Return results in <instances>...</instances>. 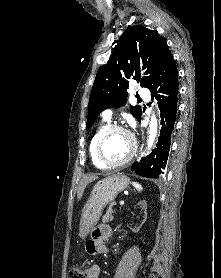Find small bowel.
<instances>
[{
  "label": "small bowel",
  "mask_w": 221,
  "mask_h": 278,
  "mask_svg": "<svg viewBox=\"0 0 221 278\" xmlns=\"http://www.w3.org/2000/svg\"><path fill=\"white\" fill-rule=\"evenodd\" d=\"M112 228L107 225H100L92 231L91 238L86 243V249L90 254L106 253L108 251L105 242L112 237ZM87 278H98L99 267L91 265L87 270Z\"/></svg>",
  "instance_id": "small-bowel-1"
}]
</instances>
